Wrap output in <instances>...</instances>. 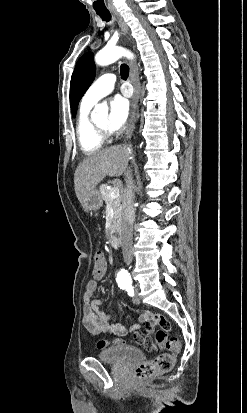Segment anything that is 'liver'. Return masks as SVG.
<instances>
[{
	"mask_svg": "<svg viewBox=\"0 0 247 413\" xmlns=\"http://www.w3.org/2000/svg\"><path fill=\"white\" fill-rule=\"evenodd\" d=\"M129 156V146L126 144H113V146L85 156L74 174V188L78 200L82 202L83 198H86L91 190H95L97 184L105 176L123 174Z\"/></svg>",
	"mask_w": 247,
	"mask_h": 413,
	"instance_id": "6515ba94",
	"label": "liver"
}]
</instances>
